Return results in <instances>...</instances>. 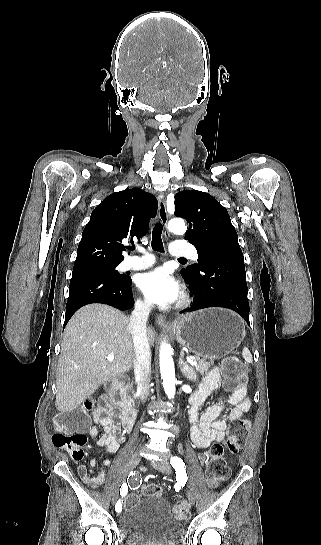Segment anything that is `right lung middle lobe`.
Returning <instances> with one entry per match:
<instances>
[{
	"mask_svg": "<svg viewBox=\"0 0 321 545\" xmlns=\"http://www.w3.org/2000/svg\"><path fill=\"white\" fill-rule=\"evenodd\" d=\"M119 264H116V265H100V266H92V267H88V268H84V269H80V270H73V272L75 271H82V270H90V271H96V272H100V273H103V274H106L108 276H111V277H114V278H124L126 275L125 274H120L115 268L118 266Z\"/></svg>",
	"mask_w": 321,
	"mask_h": 545,
	"instance_id": "dd1d6c3e",
	"label": "right lung middle lobe"
}]
</instances>
